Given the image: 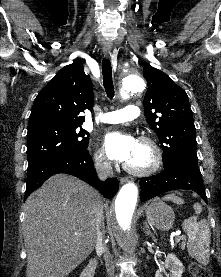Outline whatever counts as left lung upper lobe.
Here are the masks:
<instances>
[{"label":"left lung upper lobe","mask_w":221,"mask_h":277,"mask_svg":"<svg viewBox=\"0 0 221 277\" xmlns=\"http://www.w3.org/2000/svg\"><path fill=\"white\" fill-rule=\"evenodd\" d=\"M146 120L163 144L164 169L186 167L201 174L196 154L193 113L186 92L164 72L146 64Z\"/></svg>","instance_id":"left-lung-upper-lobe-1"}]
</instances>
